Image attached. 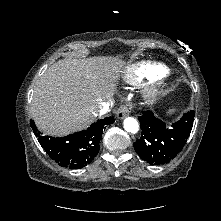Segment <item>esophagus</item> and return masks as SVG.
I'll return each mask as SVG.
<instances>
[{
  "label": "esophagus",
  "mask_w": 221,
  "mask_h": 221,
  "mask_svg": "<svg viewBox=\"0 0 221 221\" xmlns=\"http://www.w3.org/2000/svg\"><path fill=\"white\" fill-rule=\"evenodd\" d=\"M130 114V109L126 105H121L117 110V118L124 119Z\"/></svg>",
  "instance_id": "esophagus-1"
}]
</instances>
